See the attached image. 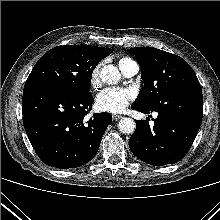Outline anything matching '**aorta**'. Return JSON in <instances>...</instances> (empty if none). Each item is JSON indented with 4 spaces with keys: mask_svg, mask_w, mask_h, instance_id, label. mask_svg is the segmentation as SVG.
Here are the masks:
<instances>
[{
    "mask_svg": "<svg viewBox=\"0 0 220 220\" xmlns=\"http://www.w3.org/2000/svg\"><path fill=\"white\" fill-rule=\"evenodd\" d=\"M100 77L102 82L113 85L119 82L121 74L115 66L109 64L101 69ZM118 128L123 134H132L135 131L136 124L132 118L124 117L119 121Z\"/></svg>",
    "mask_w": 220,
    "mask_h": 220,
    "instance_id": "obj_1",
    "label": "aorta"
}]
</instances>
